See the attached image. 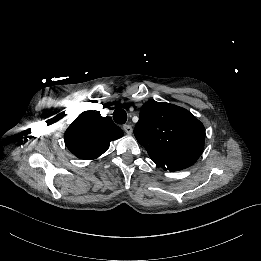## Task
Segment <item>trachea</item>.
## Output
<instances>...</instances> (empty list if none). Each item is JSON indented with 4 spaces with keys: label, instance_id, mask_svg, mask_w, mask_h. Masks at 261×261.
<instances>
[{
    "label": "trachea",
    "instance_id": "1",
    "mask_svg": "<svg viewBox=\"0 0 261 261\" xmlns=\"http://www.w3.org/2000/svg\"><path fill=\"white\" fill-rule=\"evenodd\" d=\"M113 119L117 124H124L127 121L126 111L122 108H116L113 112Z\"/></svg>",
    "mask_w": 261,
    "mask_h": 261
}]
</instances>
